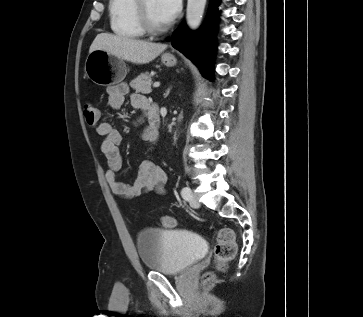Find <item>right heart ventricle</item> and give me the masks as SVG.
<instances>
[{"label":"right heart ventricle","mask_w":363,"mask_h":317,"mask_svg":"<svg viewBox=\"0 0 363 317\" xmlns=\"http://www.w3.org/2000/svg\"><path fill=\"white\" fill-rule=\"evenodd\" d=\"M135 0H109L111 30L124 38H139L144 31L139 26L134 13Z\"/></svg>","instance_id":"1"}]
</instances>
